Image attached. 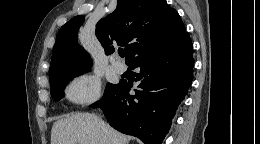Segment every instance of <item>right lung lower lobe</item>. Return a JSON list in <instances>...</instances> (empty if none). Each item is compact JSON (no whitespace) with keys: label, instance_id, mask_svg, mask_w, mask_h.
Returning <instances> with one entry per match:
<instances>
[{"label":"right lung lower lobe","instance_id":"98d812e1","mask_svg":"<svg viewBox=\"0 0 260 144\" xmlns=\"http://www.w3.org/2000/svg\"><path fill=\"white\" fill-rule=\"evenodd\" d=\"M128 65L139 68L135 94L132 83L120 80L100 101L110 125L141 139L144 144H161L171 120L193 80V46L186 33L180 40L135 57Z\"/></svg>","mask_w":260,"mask_h":144}]
</instances>
